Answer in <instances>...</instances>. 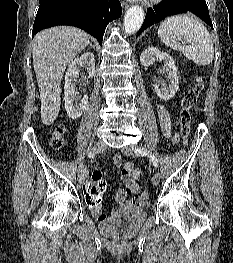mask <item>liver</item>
I'll return each mask as SVG.
<instances>
[{"label":"liver","instance_id":"6515ba94","mask_svg":"<svg viewBox=\"0 0 233 263\" xmlns=\"http://www.w3.org/2000/svg\"><path fill=\"white\" fill-rule=\"evenodd\" d=\"M88 44L89 35L71 26L52 27L34 37L33 66L40 92L43 124L50 125L57 118L64 71Z\"/></svg>","mask_w":233,"mask_h":263}]
</instances>
